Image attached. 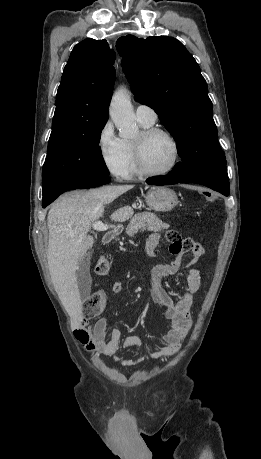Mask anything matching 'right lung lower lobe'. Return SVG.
<instances>
[{
  "mask_svg": "<svg viewBox=\"0 0 261 459\" xmlns=\"http://www.w3.org/2000/svg\"><path fill=\"white\" fill-rule=\"evenodd\" d=\"M109 182H110V178L100 177V178H94V179H82V180H77V181L68 183L62 186L60 189H58L51 196L43 198L42 206L43 208H45L47 205L53 202L59 195H61L65 191L72 190V189H78V188H92V187L107 184Z\"/></svg>",
  "mask_w": 261,
  "mask_h": 459,
  "instance_id": "right-lung-lower-lobe-1",
  "label": "right lung lower lobe"
}]
</instances>
